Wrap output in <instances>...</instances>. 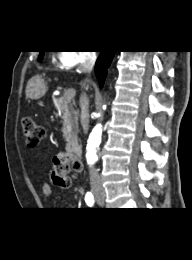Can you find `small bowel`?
Instances as JSON below:
<instances>
[{"instance_id": "obj_1", "label": "small bowel", "mask_w": 192, "mask_h": 260, "mask_svg": "<svg viewBox=\"0 0 192 260\" xmlns=\"http://www.w3.org/2000/svg\"><path fill=\"white\" fill-rule=\"evenodd\" d=\"M43 194L47 200H49L54 192V187L51 183L45 182L42 187Z\"/></svg>"}]
</instances>
